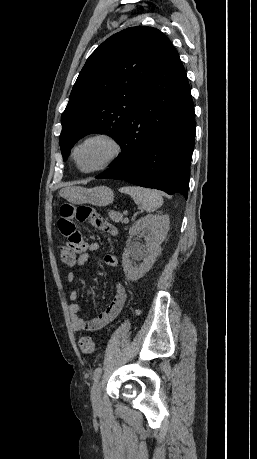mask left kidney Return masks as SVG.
Here are the masks:
<instances>
[{"label": "left kidney", "mask_w": 257, "mask_h": 459, "mask_svg": "<svg viewBox=\"0 0 257 459\" xmlns=\"http://www.w3.org/2000/svg\"><path fill=\"white\" fill-rule=\"evenodd\" d=\"M169 226L170 218L163 214H149L132 225L122 256L123 270L129 280L137 281L151 269L161 252V243L166 238ZM138 234L146 239L145 246L132 243L131 238ZM130 258L143 260V262L138 267H134Z\"/></svg>", "instance_id": "1"}]
</instances>
